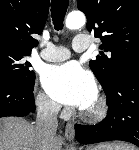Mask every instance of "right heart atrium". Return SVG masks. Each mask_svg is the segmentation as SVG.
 <instances>
[{"instance_id": "obj_1", "label": "right heart atrium", "mask_w": 139, "mask_h": 150, "mask_svg": "<svg viewBox=\"0 0 139 150\" xmlns=\"http://www.w3.org/2000/svg\"><path fill=\"white\" fill-rule=\"evenodd\" d=\"M35 102L38 110L44 115L53 116L60 110L59 105L42 92L37 94Z\"/></svg>"}]
</instances>
